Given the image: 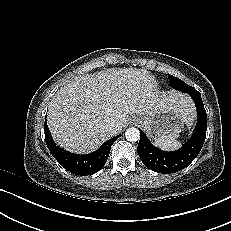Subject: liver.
<instances>
[{
	"label": "liver",
	"instance_id": "6515ba94",
	"mask_svg": "<svg viewBox=\"0 0 231 231\" xmlns=\"http://www.w3.org/2000/svg\"><path fill=\"white\" fill-rule=\"evenodd\" d=\"M168 105L178 108L184 122L194 118L192 100L180 93H161L144 69H107L83 75L62 86L53 97L47 123L55 142L71 152L95 151L113 137L112 121L124 127L129 115H147Z\"/></svg>",
	"mask_w": 231,
	"mask_h": 231
}]
</instances>
